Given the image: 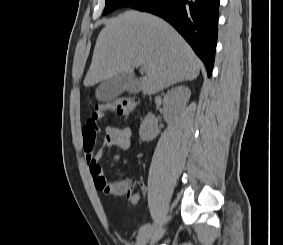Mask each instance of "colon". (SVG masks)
<instances>
[{
  "label": "colon",
  "instance_id": "obj_1",
  "mask_svg": "<svg viewBox=\"0 0 283 245\" xmlns=\"http://www.w3.org/2000/svg\"><path fill=\"white\" fill-rule=\"evenodd\" d=\"M138 100L135 97H118L111 101L99 102L93 106L90 119L100 120L107 111L115 112L119 117H127L137 107ZM127 198L133 204H138L140 197L129 187Z\"/></svg>",
  "mask_w": 283,
  "mask_h": 245
}]
</instances>
